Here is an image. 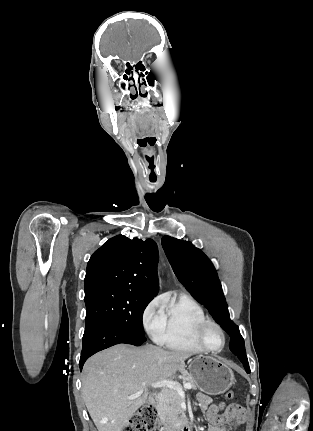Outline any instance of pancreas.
<instances>
[{"mask_svg":"<svg viewBox=\"0 0 313 431\" xmlns=\"http://www.w3.org/2000/svg\"><path fill=\"white\" fill-rule=\"evenodd\" d=\"M184 382L190 383L192 389L196 390L198 385L196 381L187 373H183ZM156 410L158 415L170 426L184 420V411L181 407V398L179 393L170 388H164L158 396Z\"/></svg>","mask_w":313,"mask_h":431,"instance_id":"cf45deb5","label":"pancreas"}]
</instances>
